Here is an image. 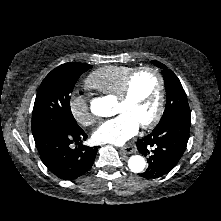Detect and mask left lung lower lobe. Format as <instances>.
Segmentation results:
<instances>
[{
	"label": "left lung lower lobe",
	"mask_w": 221,
	"mask_h": 221,
	"mask_svg": "<svg viewBox=\"0 0 221 221\" xmlns=\"http://www.w3.org/2000/svg\"><path fill=\"white\" fill-rule=\"evenodd\" d=\"M190 124V114L173 116L136 142L149 164L141 177L159 178L176 166L186 149Z\"/></svg>",
	"instance_id": "1"
}]
</instances>
